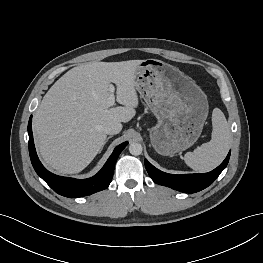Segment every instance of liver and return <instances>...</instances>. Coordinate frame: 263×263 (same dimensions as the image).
Listing matches in <instances>:
<instances>
[{
	"label": "liver",
	"mask_w": 263,
	"mask_h": 263,
	"mask_svg": "<svg viewBox=\"0 0 263 263\" xmlns=\"http://www.w3.org/2000/svg\"><path fill=\"white\" fill-rule=\"evenodd\" d=\"M142 60L89 62L59 78L35 112L33 131L44 162L60 174L86 168L106 141L105 126L127 123L136 114L135 71ZM111 83L118 106L110 108Z\"/></svg>",
	"instance_id": "6515ba94"
}]
</instances>
